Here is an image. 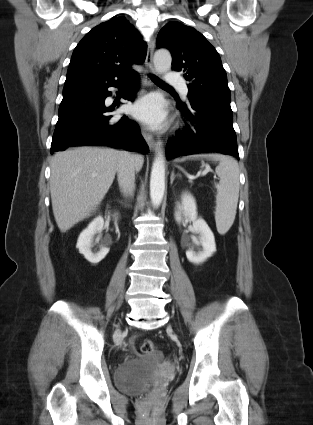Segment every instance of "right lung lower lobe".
I'll use <instances>...</instances> for the list:
<instances>
[{
    "mask_svg": "<svg viewBox=\"0 0 313 425\" xmlns=\"http://www.w3.org/2000/svg\"><path fill=\"white\" fill-rule=\"evenodd\" d=\"M137 73L128 79L136 78ZM85 81L65 84L59 107V119L51 144V153L71 146H110L147 153L149 148L139 126L123 116L114 120L104 101L112 93L108 87H120L128 80ZM136 85L124 98L133 101Z\"/></svg>",
    "mask_w": 313,
    "mask_h": 425,
    "instance_id": "obj_1",
    "label": "right lung lower lobe"
}]
</instances>
